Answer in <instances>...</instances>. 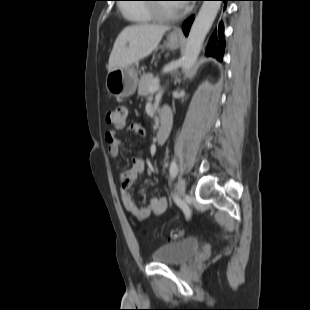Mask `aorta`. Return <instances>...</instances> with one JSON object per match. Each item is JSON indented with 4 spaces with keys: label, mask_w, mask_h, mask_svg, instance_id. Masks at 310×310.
Segmentation results:
<instances>
[{
    "label": "aorta",
    "mask_w": 310,
    "mask_h": 310,
    "mask_svg": "<svg viewBox=\"0 0 310 310\" xmlns=\"http://www.w3.org/2000/svg\"><path fill=\"white\" fill-rule=\"evenodd\" d=\"M221 1H204L190 29L186 50L182 59V70L189 71L199 56L203 42L220 9Z\"/></svg>",
    "instance_id": "1"
}]
</instances>
